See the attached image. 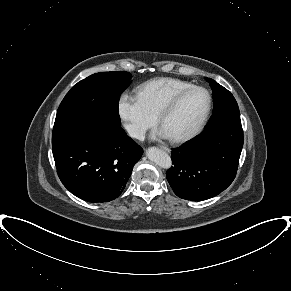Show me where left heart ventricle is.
I'll return each mask as SVG.
<instances>
[{
	"instance_id": "obj_1",
	"label": "left heart ventricle",
	"mask_w": 291,
	"mask_h": 291,
	"mask_svg": "<svg viewBox=\"0 0 291 291\" xmlns=\"http://www.w3.org/2000/svg\"><path fill=\"white\" fill-rule=\"evenodd\" d=\"M207 105V95L195 90L186 95L176 109L168 115L162 131L168 138H175L189 133L200 120Z\"/></svg>"
}]
</instances>
